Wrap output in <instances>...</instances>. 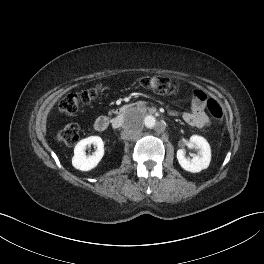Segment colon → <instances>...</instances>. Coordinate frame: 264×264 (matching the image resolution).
<instances>
[{
  "instance_id": "obj_1",
  "label": "colon",
  "mask_w": 264,
  "mask_h": 264,
  "mask_svg": "<svg viewBox=\"0 0 264 264\" xmlns=\"http://www.w3.org/2000/svg\"><path fill=\"white\" fill-rule=\"evenodd\" d=\"M139 84L158 94L175 95L178 93V86L169 78L162 76L143 77L139 80ZM101 91L102 87L97 86L85 91L67 94L61 99L59 109L64 114L74 115L78 113L83 106H88L96 101ZM206 106L208 112L215 121L221 122L223 120V109L216 100L209 99ZM57 138L67 146L75 145L79 140V126L75 123L65 125L57 133Z\"/></svg>"
}]
</instances>
